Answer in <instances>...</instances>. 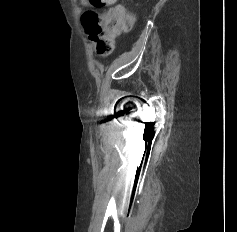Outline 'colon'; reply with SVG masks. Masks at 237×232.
I'll return each mask as SVG.
<instances>
[{"instance_id": "colon-1", "label": "colon", "mask_w": 237, "mask_h": 232, "mask_svg": "<svg viewBox=\"0 0 237 232\" xmlns=\"http://www.w3.org/2000/svg\"><path fill=\"white\" fill-rule=\"evenodd\" d=\"M116 0H88L92 7L113 5ZM82 24L90 41L95 44L96 52L101 56L112 53L116 37L134 24V16L121 5L111 7L104 13L88 9L82 15Z\"/></svg>"}]
</instances>
